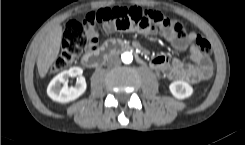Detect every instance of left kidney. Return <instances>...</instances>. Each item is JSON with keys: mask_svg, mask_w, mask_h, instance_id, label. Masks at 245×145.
I'll use <instances>...</instances> for the list:
<instances>
[{"mask_svg": "<svg viewBox=\"0 0 245 145\" xmlns=\"http://www.w3.org/2000/svg\"><path fill=\"white\" fill-rule=\"evenodd\" d=\"M170 92L177 99H185L193 94V88L184 81H175L169 85Z\"/></svg>", "mask_w": 245, "mask_h": 145, "instance_id": "1", "label": "left kidney"}]
</instances>
